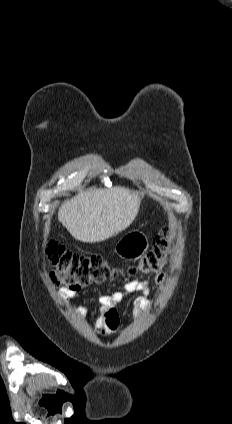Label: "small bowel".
Instances as JSON below:
<instances>
[{
  "label": "small bowel",
  "instance_id": "obj_1",
  "mask_svg": "<svg viewBox=\"0 0 232 424\" xmlns=\"http://www.w3.org/2000/svg\"><path fill=\"white\" fill-rule=\"evenodd\" d=\"M166 281V275L158 274L156 276V282L163 285ZM79 289H71L69 287H63L60 289V298L64 303H67L73 298ZM138 292L140 296L134 300V312L136 314L146 313L151 309V303L148 296L151 292L149 280H131L125 287L124 291H114L111 293L101 294L98 298L99 308L97 310L95 325L97 332L105 336L110 333H114L119 326L118 313L116 306L129 293ZM91 302L83 303L77 310L78 315H84L89 308Z\"/></svg>",
  "mask_w": 232,
  "mask_h": 424
}]
</instances>
